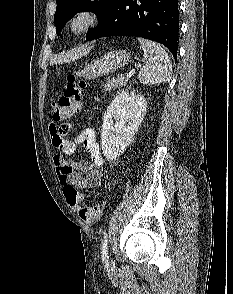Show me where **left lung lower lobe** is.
<instances>
[{
	"mask_svg": "<svg viewBox=\"0 0 233 294\" xmlns=\"http://www.w3.org/2000/svg\"><path fill=\"white\" fill-rule=\"evenodd\" d=\"M178 0H116L89 41L110 36H137L165 45L176 58Z\"/></svg>",
	"mask_w": 233,
	"mask_h": 294,
	"instance_id": "left-lung-lower-lobe-1",
	"label": "left lung lower lobe"
}]
</instances>
